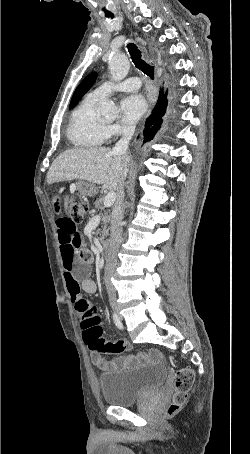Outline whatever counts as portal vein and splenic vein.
I'll list each match as a JSON object with an SVG mask.
<instances>
[{
  "label": "portal vein and splenic vein",
  "instance_id": "obj_1",
  "mask_svg": "<svg viewBox=\"0 0 250 454\" xmlns=\"http://www.w3.org/2000/svg\"><path fill=\"white\" fill-rule=\"evenodd\" d=\"M116 201V193L114 191H110L104 198L103 205L104 207H111L114 202Z\"/></svg>",
  "mask_w": 250,
  "mask_h": 454
}]
</instances>
